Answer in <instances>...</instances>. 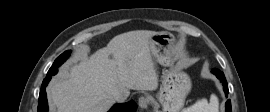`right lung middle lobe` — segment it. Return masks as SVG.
I'll return each instance as SVG.
<instances>
[{
  "label": "right lung middle lobe",
  "mask_w": 270,
  "mask_h": 112,
  "mask_svg": "<svg viewBox=\"0 0 270 112\" xmlns=\"http://www.w3.org/2000/svg\"><path fill=\"white\" fill-rule=\"evenodd\" d=\"M70 55V51H65L64 53H62L53 63V65L51 66V68L49 69V71L54 70L55 69V73H57V67L60 66Z\"/></svg>",
  "instance_id": "dd1d6c3e"
}]
</instances>
